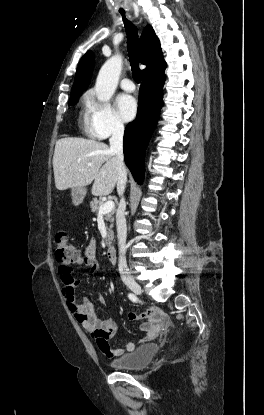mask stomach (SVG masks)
Masks as SVG:
<instances>
[{
    "instance_id": "1",
    "label": "stomach",
    "mask_w": 264,
    "mask_h": 415,
    "mask_svg": "<svg viewBox=\"0 0 264 415\" xmlns=\"http://www.w3.org/2000/svg\"><path fill=\"white\" fill-rule=\"evenodd\" d=\"M86 192L87 191H86L85 187H73V188H71L69 196L72 200V203L75 206L80 205L84 200Z\"/></svg>"
}]
</instances>
